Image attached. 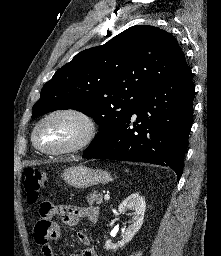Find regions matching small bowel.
<instances>
[{
    "label": "small bowel",
    "mask_w": 221,
    "mask_h": 256,
    "mask_svg": "<svg viewBox=\"0 0 221 256\" xmlns=\"http://www.w3.org/2000/svg\"><path fill=\"white\" fill-rule=\"evenodd\" d=\"M39 214L40 219L34 227V240L40 247L42 256H54L51 243L62 236L61 229L54 218L59 217L67 226H74L84 219L94 223L98 220L99 210L95 206H68L43 202L40 205ZM77 238L86 248L71 256H98L97 252L89 247L91 240L85 232L79 231Z\"/></svg>",
    "instance_id": "1"
}]
</instances>
